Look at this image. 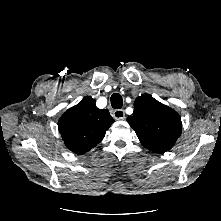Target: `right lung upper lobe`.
Returning a JSON list of instances; mask_svg holds the SVG:
<instances>
[{
  "mask_svg": "<svg viewBox=\"0 0 221 221\" xmlns=\"http://www.w3.org/2000/svg\"><path fill=\"white\" fill-rule=\"evenodd\" d=\"M113 122L109 112L98 109L95 100L88 96L61 116L58 128L66 147L83 154L102 141Z\"/></svg>",
  "mask_w": 221,
  "mask_h": 221,
  "instance_id": "obj_1",
  "label": "right lung upper lobe"
}]
</instances>
